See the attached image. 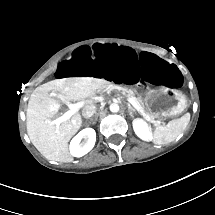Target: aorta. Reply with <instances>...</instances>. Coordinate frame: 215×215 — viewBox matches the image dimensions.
Wrapping results in <instances>:
<instances>
[{
    "label": "aorta",
    "mask_w": 215,
    "mask_h": 215,
    "mask_svg": "<svg viewBox=\"0 0 215 215\" xmlns=\"http://www.w3.org/2000/svg\"><path fill=\"white\" fill-rule=\"evenodd\" d=\"M109 110H110L112 113L118 112V111H119V105H118L117 103H112V104H110V106H109Z\"/></svg>",
    "instance_id": "762f6f07"
}]
</instances>
